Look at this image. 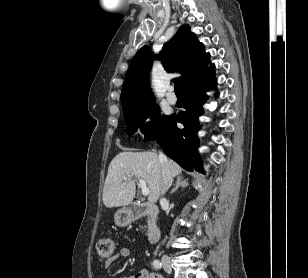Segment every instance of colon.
Instances as JSON below:
<instances>
[{"mask_svg": "<svg viewBox=\"0 0 308 278\" xmlns=\"http://www.w3.org/2000/svg\"><path fill=\"white\" fill-rule=\"evenodd\" d=\"M115 251V243L111 238H102L96 244V252L101 260L110 258Z\"/></svg>", "mask_w": 308, "mask_h": 278, "instance_id": "5ec220e1", "label": "colon"}]
</instances>
